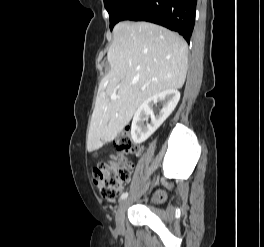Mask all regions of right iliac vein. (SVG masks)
Instances as JSON below:
<instances>
[{
    "label": "right iliac vein",
    "mask_w": 264,
    "mask_h": 247,
    "mask_svg": "<svg viewBox=\"0 0 264 247\" xmlns=\"http://www.w3.org/2000/svg\"><path fill=\"white\" fill-rule=\"evenodd\" d=\"M136 198V197H135ZM135 198L125 199L123 200L116 212L115 221H116V228L118 231H122L124 229V218H125V212L132 200Z\"/></svg>",
    "instance_id": "right-iliac-vein-1"
}]
</instances>
